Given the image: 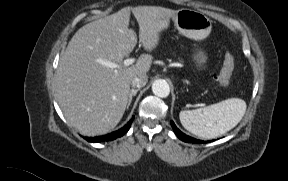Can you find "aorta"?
I'll return each instance as SVG.
<instances>
[{
	"instance_id": "aorta-1",
	"label": "aorta",
	"mask_w": 288,
	"mask_h": 181,
	"mask_svg": "<svg viewBox=\"0 0 288 181\" xmlns=\"http://www.w3.org/2000/svg\"><path fill=\"white\" fill-rule=\"evenodd\" d=\"M153 93L161 98H166L170 93L169 84L162 79H157L152 84Z\"/></svg>"
}]
</instances>
